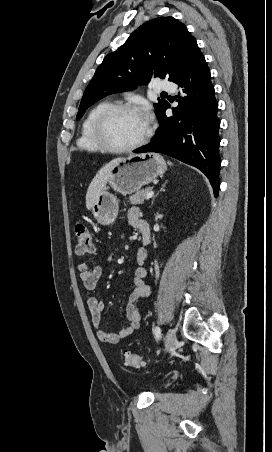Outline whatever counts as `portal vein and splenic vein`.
<instances>
[{
  "instance_id": "obj_1",
  "label": "portal vein and splenic vein",
  "mask_w": 272,
  "mask_h": 452,
  "mask_svg": "<svg viewBox=\"0 0 272 452\" xmlns=\"http://www.w3.org/2000/svg\"><path fill=\"white\" fill-rule=\"evenodd\" d=\"M153 195H154V192H153V191H150V192L147 194L146 199L152 198Z\"/></svg>"
}]
</instances>
